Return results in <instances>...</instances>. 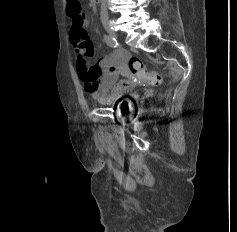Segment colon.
I'll return each mask as SVG.
<instances>
[{"mask_svg": "<svg viewBox=\"0 0 237 232\" xmlns=\"http://www.w3.org/2000/svg\"><path fill=\"white\" fill-rule=\"evenodd\" d=\"M67 11L76 26L80 28L83 24V18L82 7L79 0H69ZM128 68L133 75L145 81L152 84H158L160 82L159 74L155 71L148 70L139 58H131L128 62Z\"/></svg>", "mask_w": 237, "mask_h": 232, "instance_id": "5ec220e1", "label": "colon"}]
</instances>
